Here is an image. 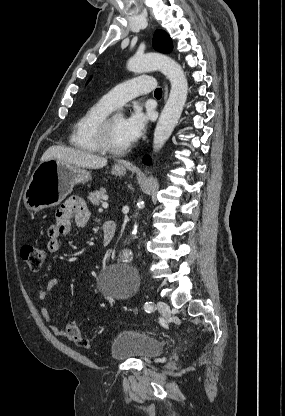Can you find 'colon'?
<instances>
[{"mask_svg": "<svg viewBox=\"0 0 285 416\" xmlns=\"http://www.w3.org/2000/svg\"><path fill=\"white\" fill-rule=\"evenodd\" d=\"M20 256L32 272H38L46 260L44 250L32 244L23 245ZM65 333L66 338L72 344L84 349L89 348V341L75 322L67 324Z\"/></svg>", "mask_w": 285, "mask_h": 416, "instance_id": "obj_1", "label": "colon"}]
</instances>
